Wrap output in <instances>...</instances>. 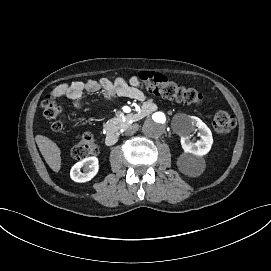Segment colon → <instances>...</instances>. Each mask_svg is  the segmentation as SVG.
Here are the masks:
<instances>
[{
  "instance_id": "5ec220e1",
  "label": "colon",
  "mask_w": 271,
  "mask_h": 271,
  "mask_svg": "<svg viewBox=\"0 0 271 271\" xmlns=\"http://www.w3.org/2000/svg\"><path fill=\"white\" fill-rule=\"evenodd\" d=\"M140 82L142 88L150 93L186 104H199L202 101V94L183 85H179L168 80L162 74L140 72L135 76ZM42 108L47 119L52 121L54 131L65 130L61 108L52 96L48 95L42 101ZM236 125L235 118L227 111H217L213 118V127L217 134L225 135L229 133ZM98 145L91 134H84L81 140L71 149V155L74 159L80 160L86 157L97 155Z\"/></svg>"
}]
</instances>
